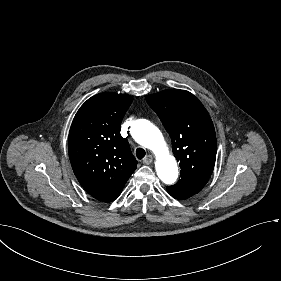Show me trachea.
<instances>
[{
	"mask_svg": "<svg viewBox=\"0 0 281 281\" xmlns=\"http://www.w3.org/2000/svg\"><path fill=\"white\" fill-rule=\"evenodd\" d=\"M145 155H146V152L143 148L136 149V156L138 159H143Z\"/></svg>",
	"mask_w": 281,
	"mask_h": 281,
	"instance_id": "3493384b",
	"label": "trachea"
}]
</instances>
